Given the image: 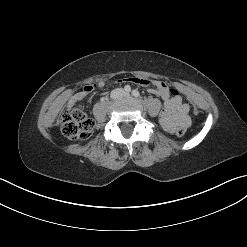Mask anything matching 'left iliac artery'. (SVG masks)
I'll return each instance as SVG.
<instances>
[{"instance_id":"1","label":"left iliac artery","mask_w":247,"mask_h":247,"mask_svg":"<svg viewBox=\"0 0 247 247\" xmlns=\"http://www.w3.org/2000/svg\"><path fill=\"white\" fill-rule=\"evenodd\" d=\"M132 95H133L134 97H139V96H140V93H139V91H137V90H133V91H132Z\"/></svg>"}]
</instances>
